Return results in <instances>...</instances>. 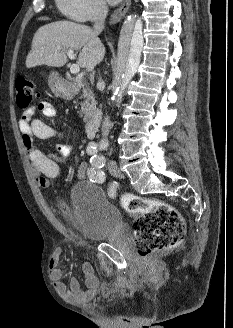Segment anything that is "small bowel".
Here are the masks:
<instances>
[{
  "label": "small bowel",
  "instance_id": "c3829d8e",
  "mask_svg": "<svg viewBox=\"0 0 233 328\" xmlns=\"http://www.w3.org/2000/svg\"><path fill=\"white\" fill-rule=\"evenodd\" d=\"M36 110H39L46 118L56 116L55 107L50 102L41 101L36 106H31L23 112L18 126L22 135L23 145L32 166L33 175L36 178V183L41 188H47L51 180L58 176L60 167L52 156L39 150L36 140L56 137L57 131L41 119L35 118L34 113ZM58 151L62 155H68L70 153V149L66 146H59ZM85 174L86 163L82 162L78 168V177L84 178ZM61 254V250H55L49 260V273L56 291L67 302L84 303L90 301L95 296L99 285L92 265L87 262L82 264L85 289L76 278H72L69 286H66L63 283V277L66 271L61 264Z\"/></svg>",
  "mask_w": 233,
  "mask_h": 328
}]
</instances>
